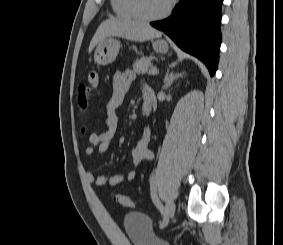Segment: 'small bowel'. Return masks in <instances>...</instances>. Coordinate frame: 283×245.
Instances as JSON below:
<instances>
[{
    "label": "small bowel",
    "instance_id": "c3829d8e",
    "mask_svg": "<svg viewBox=\"0 0 283 245\" xmlns=\"http://www.w3.org/2000/svg\"><path fill=\"white\" fill-rule=\"evenodd\" d=\"M134 78L135 74L131 70L118 71L115 73L112 81V94L107 103L106 128L101 133H92L89 136L88 139L91 146L86 148L85 152L87 156L104 154L110 148L111 141L117 131L116 110L122 104L124 97ZM93 95L94 93L92 94V99ZM150 139L151 129L147 126L144 129L141 139L132 149L131 153L125 158V161H131V164L133 166L132 169L128 171L123 170L113 176L95 175L94 173L87 171L85 173L86 179L96 186H115L124 181L134 180L136 177L135 168L138 167L142 161L151 160L153 157V153L149 149Z\"/></svg>",
    "mask_w": 283,
    "mask_h": 245
}]
</instances>
